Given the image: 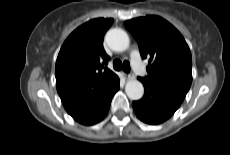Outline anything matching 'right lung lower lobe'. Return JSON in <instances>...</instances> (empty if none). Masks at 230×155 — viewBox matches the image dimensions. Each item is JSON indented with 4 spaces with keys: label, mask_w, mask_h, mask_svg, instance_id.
<instances>
[{
    "label": "right lung lower lobe",
    "mask_w": 230,
    "mask_h": 155,
    "mask_svg": "<svg viewBox=\"0 0 230 155\" xmlns=\"http://www.w3.org/2000/svg\"><path fill=\"white\" fill-rule=\"evenodd\" d=\"M119 90V78H117L113 84V87L109 91L108 95L104 97L97 104L71 116L79 123L84 125H93L103 120L109 110L111 100L114 94Z\"/></svg>",
    "instance_id": "right-lung-lower-lobe-1"
}]
</instances>
